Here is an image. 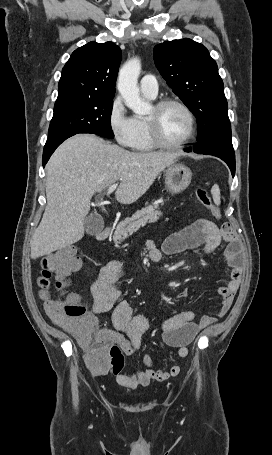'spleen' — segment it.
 Listing matches in <instances>:
<instances>
[{"mask_svg":"<svg viewBox=\"0 0 272 455\" xmlns=\"http://www.w3.org/2000/svg\"><path fill=\"white\" fill-rule=\"evenodd\" d=\"M211 194L213 197V201L216 205H220L221 200H220V189L217 184H214L212 189H211Z\"/></svg>","mask_w":272,"mask_h":455,"instance_id":"3e777b00","label":"spleen"}]
</instances>
